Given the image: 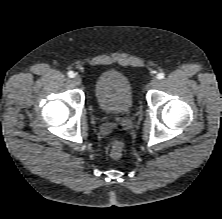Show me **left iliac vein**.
Masks as SVG:
<instances>
[{"mask_svg": "<svg viewBox=\"0 0 222 219\" xmlns=\"http://www.w3.org/2000/svg\"><path fill=\"white\" fill-rule=\"evenodd\" d=\"M159 84V80L157 78H153L150 82V86L152 88L156 87Z\"/></svg>", "mask_w": 222, "mask_h": 219, "instance_id": "left-iliac-vein-1", "label": "left iliac vein"}]
</instances>
